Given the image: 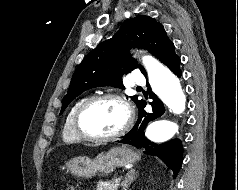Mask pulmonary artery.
<instances>
[{"label":"pulmonary artery","instance_id":"obj_1","mask_svg":"<svg viewBox=\"0 0 238 190\" xmlns=\"http://www.w3.org/2000/svg\"><path fill=\"white\" fill-rule=\"evenodd\" d=\"M131 84L133 86H142L145 84V79L140 73L133 72L131 75Z\"/></svg>","mask_w":238,"mask_h":190}]
</instances>
